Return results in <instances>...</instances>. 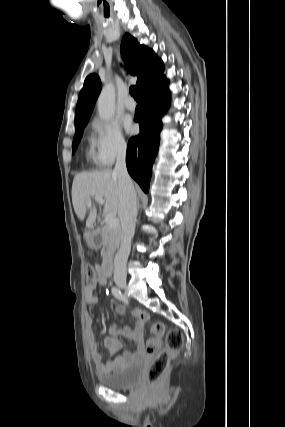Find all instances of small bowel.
<instances>
[{
  "label": "small bowel",
  "instance_id": "small-bowel-1",
  "mask_svg": "<svg viewBox=\"0 0 285 427\" xmlns=\"http://www.w3.org/2000/svg\"><path fill=\"white\" fill-rule=\"evenodd\" d=\"M97 278L94 282L86 285L84 290L85 301L89 305H97L99 298L94 294V290L98 285L107 284V276L104 271V264L96 265ZM116 312L121 315H126V310L123 305L116 306ZM132 316L135 320V326L118 328L116 324L111 327L110 334L104 339V346L109 353V355H116L115 359L104 364L102 362V356L98 350L97 343L94 338V333L92 330V319L90 315H86L85 325H86V334L89 341V349L91 353V358L95 363L99 371L105 370H119L123 366L130 364L135 361L141 360L145 355L146 351L143 345V327L148 319V314L141 309H134L132 311ZM124 337L134 341L136 350L135 352H129L123 350V346L120 338Z\"/></svg>",
  "mask_w": 285,
  "mask_h": 427
}]
</instances>
